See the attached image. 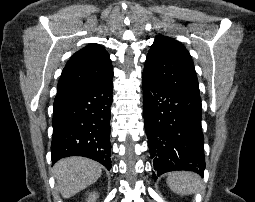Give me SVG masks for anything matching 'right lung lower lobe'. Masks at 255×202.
Returning a JSON list of instances; mask_svg holds the SVG:
<instances>
[{"mask_svg": "<svg viewBox=\"0 0 255 202\" xmlns=\"http://www.w3.org/2000/svg\"><path fill=\"white\" fill-rule=\"evenodd\" d=\"M112 79L99 86L58 93L54 100L52 163L84 156L111 168Z\"/></svg>", "mask_w": 255, "mask_h": 202, "instance_id": "right-lung-lower-lobe-1", "label": "right lung lower lobe"}]
</instances>
